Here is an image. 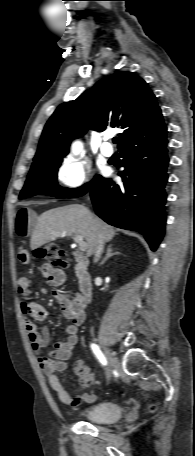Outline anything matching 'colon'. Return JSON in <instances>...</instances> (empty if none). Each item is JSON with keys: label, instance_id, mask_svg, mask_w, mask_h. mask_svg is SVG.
I'll list each match as a JSON object with an SVG mask.
<instances>
[{"label": "colon", "instance_id": "5ec220e1", "mask_svg": "<svg viewBox=\"0 0 195 456\" xmlns=\"http://www.w3.org/2000/svg\"><path fill=\"white\" fill-rule=\"evenodd\" d=\"M35 256L44 260L48 265L54 268H61L66 266V259L64 251L55 244H49L35 252ZM151 411L155 410V406L150 407Z\"/></svg>", "mask_w": 195, "mask_h": 456}]
</instances>
